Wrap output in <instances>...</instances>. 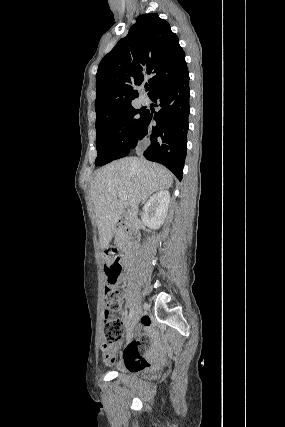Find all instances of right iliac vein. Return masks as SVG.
<instances>
[{"label": "right iliac vein", "mask_w": 285, "mask_h": 427, "mask_svg": "<svg viewBox=\"0 0 285 427\" xmlns=\"http://www.w3.org/2000/svg\"><path fill=\"white\" fill-rule=\"evenodd\" d=\"M141 314H142V310H141V308H138V309L135 311L134 316H133V324H132V326L128 329V335H130V334H131V332H132V328H133V325H135V324L139 321V319H140V317H141Z\"/></svg>", "instance_id": "63e3f726"}]
</instances>
